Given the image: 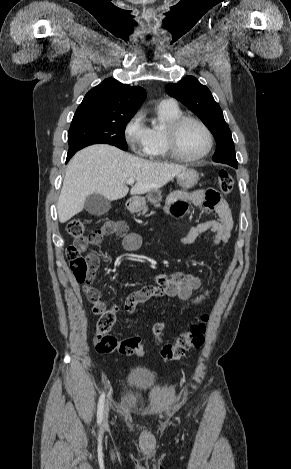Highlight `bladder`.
I'll use <instances>...</instances> for the list:
<instances>
[{
	"label": "bladder",
	"instance_id": "obj_1",
	"mask_svg": "<svg viewBox=\"0 0 291 469\" xmlns=\"http://www.w3.org/2000/svg\"><path fill=\"white\" fill-rule=\"evenodd\" d=\"M127 388L129 392L145 391L156 386L155 374L142 367L132 368L127 375Z\"/></svg>",
	"mask_w": 291,
	"mask_h": 469
}]
</instances>
